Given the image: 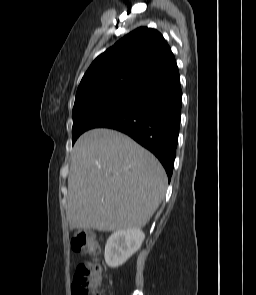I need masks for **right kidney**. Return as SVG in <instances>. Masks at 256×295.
Returning a JSON list of instances; mask_svg holds the SVG:
<instances>
[{
    "instance_id": "1",
    "label": "right kidney",
    "mask_w": 256,
    "mask_h": 295,
    "mask_svg": "<svg viewBox=\"0 0 256 295\" xmlns=\"http://www.w3.org/2000/svg\"><path fill=\"white\" fill-rule=\"evenodd\" d=\"M145 234L140 228L117 230L105 245V262L116 268L124 264L141 247Z\"/></svg>"
}]
</instances>
